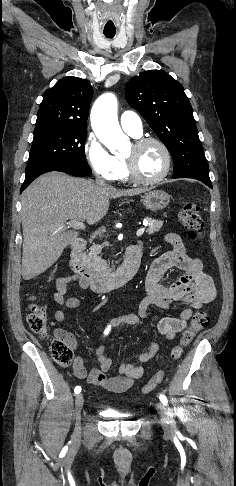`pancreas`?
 <instances>
[{"instance_id": "1", "label": "pancreas", "mask_w": 236, "mask_h": 486, "mask_svg": "<svg viewBox=\"0 0 236 486\" xmlns=\"http://www.w3.org/2000/svg\"><path fill=\"white\" fill-rule=\"evenodd\" d=\"M148 222V228L146 232L150 235L155 232H158L160 228L163 226V221L161 220H155L153 218H145ZM108 244L104 242L101 245L98 244H93L89 251L88 255L85 256V263L88 267L89 270L95 271V272H105L108 270V267L106 265V262L101 259V250L104 246H107Z\"/></svg>"}]
</instances>
